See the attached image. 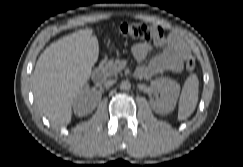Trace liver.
<instances>
[{"mask_svg": "<svg viewBox=\"0 0 243 167\" xmlns=\"http://www.w3.org/2000/svg\"><path fill=\"white\" fill-rule=\"evenodd\" d=\"M98 55L96 37L91 29H84L52 43L38 58L33 74L35 102L55 125L70 123L72 102L87 83Z\"/></svg>", "mask_w": 243, "mask_h": 167, "instance_id": "liver-1", "label": "liver"}]
</instances>
